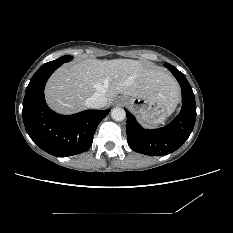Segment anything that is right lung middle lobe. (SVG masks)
<instances>
[{
  "mask_svg": "<svg viewBox=\"0 0 233 233\" xmlns=\"http://www.w3.org/2000/svg\"><path fill=\"white\" fill-rule=\"evenodd\" d=\"M71 59H72V56L65 55V56L60 57L57 60L47 62L43 66H48V65H53V64H60V65H62L63 63L68 62Z\"/></svg>",
  "mask_w": 233,
  "mask_h": 233,
  "instance_id": "dd1d6c3e",
  "label": "right lung middle lobe"
}]
</instances>
